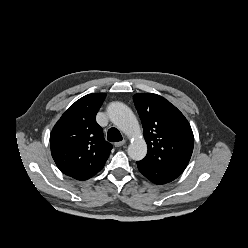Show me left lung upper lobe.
Here are the masks:
<instances>
[{"instance_id":"left-lung-upper-lobe-1","label":"left lung upper lobe","mask_w":248,"mask_h":248,"mask_svg":"<svg viewBox=\"0 0 248 248\" xmlns=\"http://www.w3.org/2000/svg\"><path fill=\"white\" fill-rule=\"evenodd\" d=\"M134 102L148 146L143 160L182 173L194 147L193 132L187 119L173 104L157 94H135Z\"/></svg>"}]
</instances>
